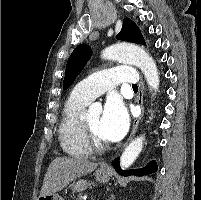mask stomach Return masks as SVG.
I'll list each match as a JSON object with an SVG mask.
<instances>
[{"label":"stomach","mask_w":201,"mask_h":200,"mask_svg":"<svg viewBox=\"0 0 201 200\" xmlns=\"http://www.w3.org/2000/svg\"><path fill=\"white\" fill-rule=\"evenodd\" d=\"M110 175L111 173L109 170L97 169L95 172L96 181L101 183L108 182ZM88 185L89 183L86 180L80 179L78 181L73 182L70 187L73 191L81 192L85 190ZM38 200H63V198L56 193H52L50 195L40 196Z\"/></svg>","instance_id":"1"}]
</instances>
